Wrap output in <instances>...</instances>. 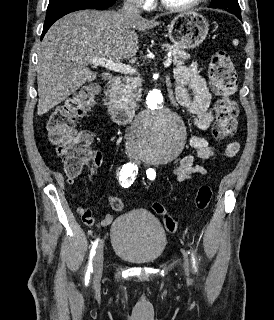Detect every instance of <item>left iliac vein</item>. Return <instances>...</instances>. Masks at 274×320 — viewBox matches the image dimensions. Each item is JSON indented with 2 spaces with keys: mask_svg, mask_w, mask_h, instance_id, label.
<instances>
[{
  "mask_svg": "<svg viewBox=\"0 0 274 320\" xmlns=\"http://www.w3.org/2000/svg\"><path fill=\"white\" fill-rule=\"evenodd\" d=\"M184 269L187 273L189 272V261H188V258L186 257L184 259Z\"/></svg>",
  "mask_w": 274,
  "mask_h": 320,
  "instance_id": "1",
  "label": "left iliac vein"
}]
</instances>
